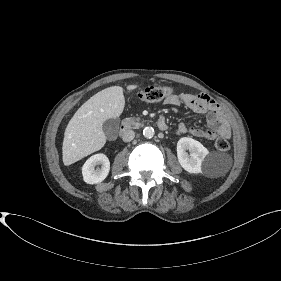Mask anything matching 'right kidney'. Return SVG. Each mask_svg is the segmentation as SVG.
Instances as JSON below:
<instances>
[{"mask_svg": "<svg viewBox=\"0 0 281 281\" xmlns=\"http://www.w3.org/2000/svg\"><path fill=\"white\" fill-rule=\"evenodd\" d=\"M101 165V168L95 166ZM110 162L106 155L99 153L92 155L82 167L83 180L87 184H97L102 182L108 175Z\"/></svg>", "mask_w": 281, "mask_h": 281, "instance_id": "right-kidney-1", "label": "right kidney"}]
</instances>
